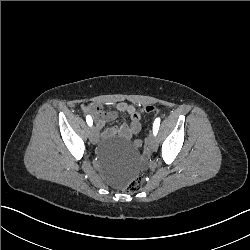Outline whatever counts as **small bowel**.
I'll return each mask as SVG.
<instances>
[{
	"instance_id": "small-bowel-1",
	"label": "small bowel",
	"mask_w": 250,
	"mask_h": 250,
	"mask_svg": "<svg viewBox=\"0 0 250 250\" xmlns=\"http://www.w3.org/2000/svg\"><path fill=\"white\" fill-rule=\"evenodd\" d=\"M136 110L133 106L127 105L125 103H120L117 106L116 111L105 112L103 107L99 103H91L84 108V112L90 114L95 121L96 127L98 129L104 128V126L116 119L118 113H127L130 117L131 111ZM141 130L140 122H133L130 119L129 124H123L119 127H113L109 130V135H119L124 139H131L134 135L138 134Z\"/></svg>"
}]
</instances>
